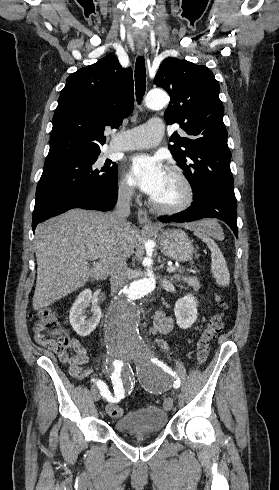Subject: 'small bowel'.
Returning <instances> with one entry per match:
<instances>
[{"label":"small bowel","instance_id":"small-bowel-1","mask_svg":"<svg viewBox=\"0 0 279 490\" xmlns=\"http://www.w3.org/2000/svg\"><path fill=\"white\" fill-rule=\"evenodd\" d=\"M153 330L157 335L169 334L174 330V321L165 313L158 311L154 316ZM159 345L164 351H168V346L164 341L159 340ZM72 349V353L59 352L57 355L59 361L68 367L72 377L79 380L89 377L93 369L87 366L89 361L87 349L75 338L73 339Z\"/></svg>","mask_w":279,"mask_h":490}]
</instances>
